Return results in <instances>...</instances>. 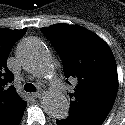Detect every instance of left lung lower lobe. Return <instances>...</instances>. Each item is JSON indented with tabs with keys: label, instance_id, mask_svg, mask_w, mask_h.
<instances>
[{
	"label": "left lung lower lobe",
	"instance_id": "left-lung-lower-lobe-1",
	"mask_svg": "<svg viewBox=\"0 0 125 125\" xmlns=\"http://www.w3.org/2000/svg\"><path fill=\"white\" fill-rule=\"evenodd\" d=\"M57 125H101L102 123L83 119L77 116L69 115L67 118L56 120Z\"/></svg>",
	"mask_w": 125,
	"mask_h": 125
}]
</instances>
